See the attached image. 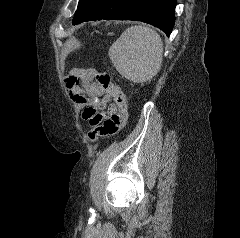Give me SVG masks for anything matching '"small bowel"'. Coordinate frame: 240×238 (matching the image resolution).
<instances>
[{"mask_svg":"<svg viewBox=\"0 0 240 238\" xmlns=\"http://www.w3.org/2000/svg\"><path fill=\"white\" fill-rule=\"evenodd\" d=\"M93 79V70L80 68L70 69L65 79L70 98L84 107L82 118L92 127L118 111L117 105L112 101V96Z\"/></svg>","mask_w":240,"mask_h":238,"instance_id":"c3829d8e","label":"small bowel"}]
</instances>
